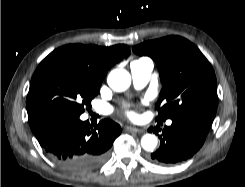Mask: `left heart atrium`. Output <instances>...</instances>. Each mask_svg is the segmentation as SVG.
Segmentation results:
<instances>
[{
    "instance_id": "1",
    "label": "left heart atrium",
    "mask_w": 245,
    "mask_h": 187,
    "mask_svg": "<svg viewBox=\"0 0 245 187\" xmlns=\"http://www.w3.org/2000/svg\"><path fill=\"white\" fill-rule=\"evenodd\" d=\"M126 115L128 116V117H130V118H133L134 116H135V112H134V110H132L131 108H128V109H126Z\"/></svg>"
}]
</instances>
